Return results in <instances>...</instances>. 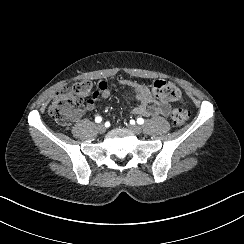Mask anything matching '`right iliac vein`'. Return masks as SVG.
<instances>
[{
    "mask_svg": "<svg viewBox=\"0 0 244 244\" xmlns=\"http://www.w3.org/2000/svg\"><path fill=\"white\" fill-rule=\"evenodd\" d=\"M97 130L99 133L103 134L106 132V126L103 123H100L97 125Z\"/></svg>",
    "mask_w": 244,
    "mask_h": 244,
    "instance_id": "obj_1",
    "label": "right iliac vein"
}]
</instances>
